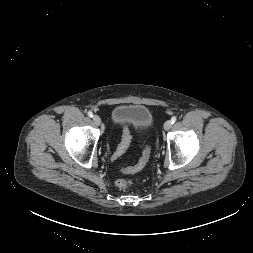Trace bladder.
Segmentation results:
<instances>
[{
	"instance_id": "1",
	"label": "bladder",
	"mask_w": 253,
	"mask_h": 253,
	"mask_svg": "<svg viewBox=\"0 0 253 253\" xmlns=\"http://www.w3.org/2000/svg\"><path fill=\"white\" fill-rule=\"evenodd\" d=\"M111 121L115 127H129L139 134L153 128L154 119L151 111L142 104H121L114 108Z\"/></svg>"
}]
</instances>
